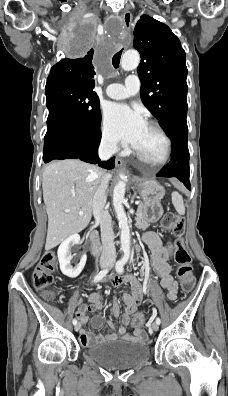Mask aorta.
Returning <instances> with one entry per match:
<instances>
[{"label":"aorta","mask_w":228,"mask_h":396,"mask_svg":"<svg viewBox=\"0 0 228 396\" xmlns=\"http://www.w3.org/2000/svg\"><path fill=\"white\" fill-rule=\"evenodd\" d=\"M140 62V56L137 51H126L121 59V67L125 71L136 69ZM119 181L113 190V206L121 229L120 243L123 251L130 249V229L127 216L122 205L125 195L127 176L124 173L119 174Z\"/></svg>","instance_id":"aorta-1"}]
</instances>
